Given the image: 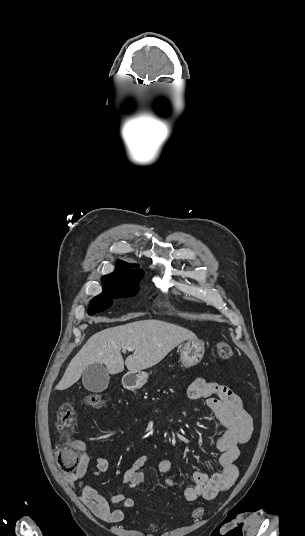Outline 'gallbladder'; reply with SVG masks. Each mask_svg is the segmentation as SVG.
I'll return each mask as SVG.
<instances>
[{
  "label": "gallbladder",
  "instance_id": "1",
  "mask_svg": "<svg viewBox=\"0 0 305 536\" xmlns=\"http://www.w3.org/2000/svg\"><path fill=\"white\" fill-rule=\"evenodd\" d=\"M110 376L103 364H91L82 374V384L89 392H103L109 384Z\"/></svg>",
  "mask_w": 305,
  "mask_h": 536
}]
</instances>
